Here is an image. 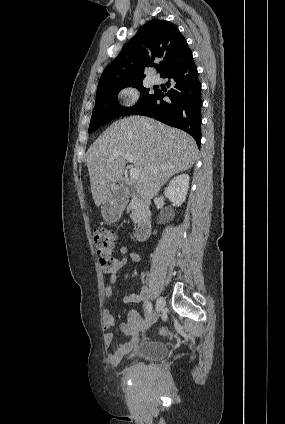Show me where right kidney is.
<instances>
[{"label":"right kidney","instance_id":"obj_1","mask_svg":"<svg viewBox=\"0 0 285 424\" xmlns=\"http://www.w3.org/2000/svg\"><path fill=\"white\" fill-rule=\"evenodd\" d=\"M189 175L181 174L174 177L168 187L165 189V196L174 204V206L180 207L186 199V195L189 189Z\"/></svg>","mask_w":285,"mask_h":424}]
</instances>
